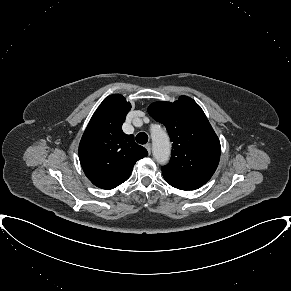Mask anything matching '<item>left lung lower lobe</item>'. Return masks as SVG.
<instances>
[{
  "instance_id": "left-lung-lower-lobe-1",
  "label": "left lung lower lobe",
  "mask_w": 291,
  "mask_h": 291,
  "mask_svg": "<svg viewBox=\"0 0 291 291\" xmlns=\"http://www.w3.org/2000/svg\"><path fill=\"white\" fill-rule=\"evenodd\" d=\"M163 174V177L165 179V181L170 184L171 186L180 189V190H195L200 188L202 185L201 184H197V183H193V182H189V181H185L179 178H175V177H171L167 174Z\"/></svg>"
}]
</instances>
